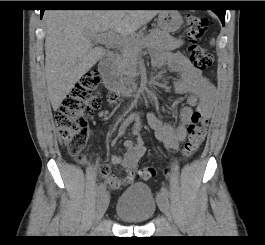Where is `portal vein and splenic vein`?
Masks as SVG:
<instances>
[{"label":"portal vein and splenic vein","mask_w":265,"mask_h":245,"mask_svg":"<svg viewBox=\"0 0 265 245\" xmlns=\"http://www.w3.org/2000/svg\"><path fill=\"white\" fill-rule=\"evenodd\" d=\"M92 38L96 42L105 43V44H128L131 42L130 39L126 37H121L118 35H115L112 31H107L103 33L93 34ZM146 41L144 40L142 44H144Z\"/></svg>","instance_id":"1"}]
</instances>
